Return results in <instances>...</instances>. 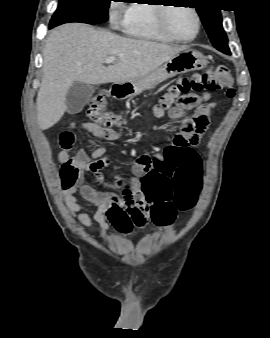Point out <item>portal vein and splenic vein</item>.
Returning a JSON list of instances; mask_svg holds the SVG:
<instances>
[{"instance_id": "portal-vein-and-splenic-vein-1", "label": "portal vein and splenic vein", "mask_w": 270, "mask_h": 338, "mask_svg": "<svg viewBox=\"0 0 270 338\" xmlns=\"http://www.w3.org/2000/svg\"><path fill=\"white\" fill-rule=\"evenodd\" d=\"M115 57L114 56H110V57H108L105 61H104V63L105 64H111V63H113L114 61H115Z\"/></svg>"}]
</instances>
